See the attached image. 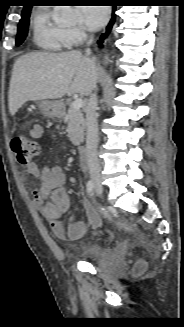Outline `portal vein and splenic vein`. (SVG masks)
Masks as SVG:
<instances>
[{
	"label": "portal vein and splenic vein",
	"instance_id": "portal-vein-and-splenic-vein-1",
	"mask_svg": "<svg viewBox=\"0 0 184 327\" xmlns=\"http://www.w3.org/2000/svg\"><path fill=\"white\" fill-rule=\"evenodd\" d=\"M83 104H84V102H83L82 99H76V100H74V101L72 102L71 107H72L73 109L79 110L80 108L83 107Z\"/></svg>",
	"mask_w": 184,
	"mask_h": 327
}]
</instances>
